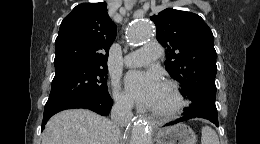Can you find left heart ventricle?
Returning <instances> with one entry per match:
<instances>
[{
	"mask_svg": "<svg viewBox=\"0 0 260 144\" xmlns=\"http://www.w3.org/2000/svg\"><path fill=\"white\" fill-rule=\"evenodd\" d=\"M174 105V98L169 91V89L162 85V89L159 93V96L152 106L153 109L162 110V109H169Z\"/></svg>",
	"mask_w": 260,
	"mask_h": 144,
	"instance_id": "obj_1",
	"label": "left heart ventricle"
}]
</instances>
